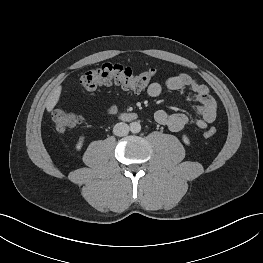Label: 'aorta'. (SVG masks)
<instances>
[{
	"label": "aorta",
	"instance_id": "1",
	"mask_svg": "<svg viewBox=\"0 0 263 263\" xmlns=\"http://www.w3.org/2000/svg\"><path fill=\"white\" fill-rule=\"evenodd\" d=\"M130 131L132 133H139L141 131V125L139 122L130 123Z\"/></svg>",
	"mask_w": 263,
	"mask_h": 263
}]
</instances>
